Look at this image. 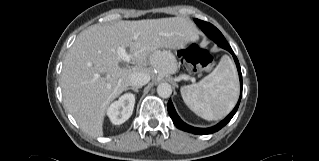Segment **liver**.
<instances>
[{
  "label": "liver",
  "instance_id": "obj_1",
  "mask_svg": "<svg viewBox=\"0 0 319 161\" xmlns=\"http://www.w3.org/2000/svg\"><path fill=\"white\" fill-rule=\"evenodd\" d=\"M198 38L195 24L184 17L88 27L77 36L63 62L61 88L66 109L83 131L93 137L102 136L106 109L127 90L130 75L151 74L148 65L156 68L151 54L157 49L183 48ZM119 47L129 48L134 66L119 65Z\"/></svg>",
  "mask_w": 319,
  "mask_h": 161
}]
</instances>
